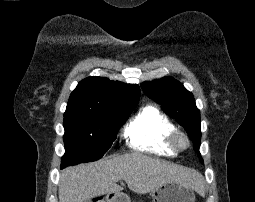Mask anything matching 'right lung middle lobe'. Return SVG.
Wrapping results in <instances>:
<instances>
[{
	"instance_id": "right-lung-middle-lobe-1",
	"label": "right lung middle lobe",
	"mask_w": 255,
	"mask_h": 202,
	"mask_svg": "<svg viewBox=\"0 0 255 202\" xmlns=\"http://www.w3.org/2000/svg\"><path fill=\"white\" fill-rule=\"evenodd\" d=\"M135 106L103 114L64 116L65 155L61 168L101 158Z\"/></svg>"
}]
</instances>
